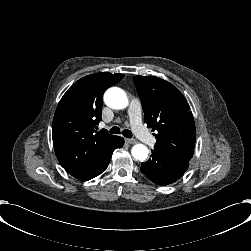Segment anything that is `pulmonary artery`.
I'll return each instance as SVG.
<instances>
[{
	"mask_svg": "<svg viewBox=\"0 0 251 251\" xmlns=\"http://www.w3.org/2000/svg\"><path fill=\"white\" fill-rule=\"evenodd\" d=\"M127 114L130 121V126L136 133L137 138L145 140L146 144L153 145L156 142V137L149 134L148 130L144 129L142 123V106L139 101L133 99L128 102Z\"/></svg>",
	"mask_w": 251,
	"mask_h": 251,
	"instance_id": "obj_1",
	"label": "pulmonary artery"
}]
</instances>
